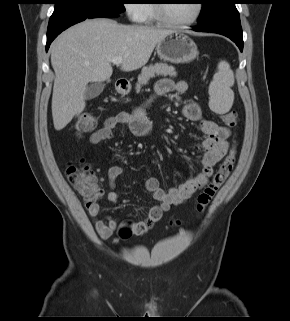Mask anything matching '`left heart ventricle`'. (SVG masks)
<instances>
[{
	"mask_svg": "<svg viewBox=\"0 0 290 321\" xmlns=\"http://www.w3.org/2000/svg\"><path fill=\"white\" fill-rule=\"evenodd\" d=\"M195 10V0H167V3H165L166 16L177 22L191 19Z\"/></svg>",
	"mask_w": 290,
	"mask_h": 321,
	"instance_id": "left-heart-ventricle-1",
	"label": "left heart ventricle"
}]
</instances>
